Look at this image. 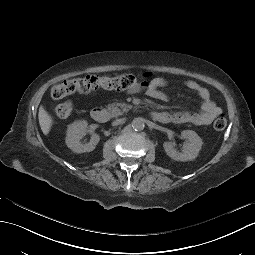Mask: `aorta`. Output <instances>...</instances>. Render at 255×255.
Instances as JSON below:
<instances>
[{
  "label": "aorta",
  "mask_w": 255,
  "mask_h": 255,
  "mask_svg": "<svg viewBox=\"0 0 255 255\" xmlns=\"http://www.w3.org/2000/svg\"><path fill=\"white\" fill-rule=\"evenodd\" d=\"M132 127L134 130H137V131L143 130L145 127L144 120L140 117L133 119Z\"/></svg>",
  "instance_id": "1"
}]
</instances>
